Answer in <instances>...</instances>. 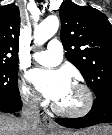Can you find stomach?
<instances>
[{
	"label": "stomach",
	"mask_w": 112,
	"mask_h": 135,
	"mask_svg": "<svg viewBox=\"0 0 112 135\" xmlns=\"http://www.w3.org/2000/svg\"><path fill=\"white\" fill-rule=\"evenodd\" d=\"M111 134H112V127L108 125H103L80 132L64 131L59 133L58 135H111Z\"/></svg>",
	"instance_id": "0dacf381"
}]
</instances>
